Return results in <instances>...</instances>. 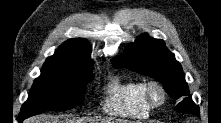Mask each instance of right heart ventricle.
I'll return each instance as SVG.
<instances>
[{
  "instance_id": "right-heart-ventricle-1",
  "label": "right heart ventricle",
  "mask_w": 221,
  "mask_h": 123,
  "mask_svg": "<svg viewBox=\"0 0 221 123\" xmlns=\"http://www.w3.org/2000/svg\"><path fill=\"white\" fill-rule=\"evenodd\" d=\"M103 109L110 115L145 119L151 107L143 96V82L116 76L111 79Z\"/></svg>"
}]
</instances>
